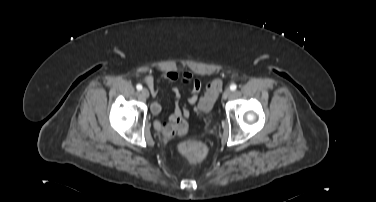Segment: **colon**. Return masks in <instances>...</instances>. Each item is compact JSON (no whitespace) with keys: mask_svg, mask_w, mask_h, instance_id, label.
<instances>
[{"mask_svg":"<svg viewBox=\"0 0 376 202\" xmlns=\"http://www.w3.org/2000/svg\"><path fill=\"white\" fill-rule=\"evenodd\" d=\"M223 83L220 79H215L208 84L204 99L198 104L197 112L205 113L208 111L221 92ZM185 130L184 123H172L165 127V133L168 135L181 134ZM178 151L183 159L189 164H196L203 161L208 153L205 143L199 140H185L178 146Z\"/></svg>","mask_w":376,"mask_h":202,"instance_id":"colon-1","label":"colon"}]
</instances>
